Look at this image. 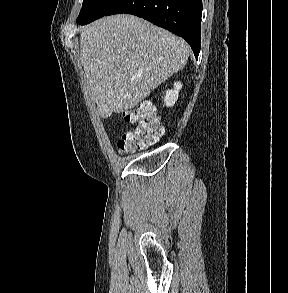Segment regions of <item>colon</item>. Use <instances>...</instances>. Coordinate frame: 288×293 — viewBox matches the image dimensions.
Instances as JSON below:
<instances>
[{
  "instance_id": "obj_1",
  "label": "colon",
  "mask_w": 288,
  "mask_h": 293,
  "mask_svg": "<svg viewBox=\"0 0 288 293\" xmlns=\"http://www.w3.org/2000/svg\"><path fill=\"white\" fill-rule=\"evenodd\" d=\"M123 119L133 127L122 134L117 143L121 154H129L154 145L163 135V127L155 109L140 104L122 113Z\"/></svg>"
}]
</instances>
